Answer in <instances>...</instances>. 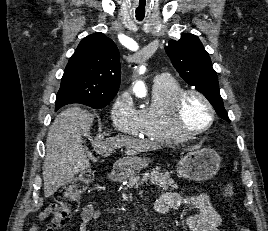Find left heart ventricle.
I'll return each mask as SVG.
<instances>
[{
	"label": "left heart ventricle",
	"mask_w": 268,
	"mask_h": 231,
	"mask_svg": "<svg viewBox=\"0 0 268 231\" xmlns=\"http://www.w3.org/2000/svg\"><path fill=\"white\" fill-rule=\"evenodd\" d=\"M210 112L207 106L196 96H188L182 105L180 125L186 131H194L207 124Z\"/></svg>",
	"instance_id": "b2bd125f"
}]
</instances>
